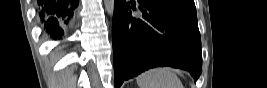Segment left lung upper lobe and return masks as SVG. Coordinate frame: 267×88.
<instances>
[{
  "mask_svg": "<svg viewBox=\"0 0 267 88\" xmlns=\"http://www.w3.org/2000/svg\"><path fill=\"white\" fill-rule=\"evenodd\" d=\"M196 13L194 0H146Z\"/></svg>",
  "mask_w": 267,
  "mask_h": 88,
  "instance_id": "left-lung-upper-lobe-1",
  "label": "left lung upper lobe"
}]
</instances>
